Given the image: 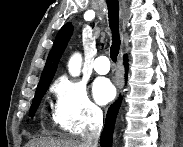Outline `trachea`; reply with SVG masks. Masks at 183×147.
Instances as JSON below:
<instances>
[{
	"label": "trachea",
	"instance_id": "3493384b",
	"mask_svg": "<svg viewBox=\"0 0 183 147\" xmlns=\"http://www.w3.org/2000/svg\"><path fill=\"white\" fill-rule=\"evenodd\" d=\"M109 26L112 31V45L110 58L116 62L120 50L119 38V2L118 0H107Z\"/></svg>",
	"mask_w": 183,
	"mask_h": 147
}]
</instances>
